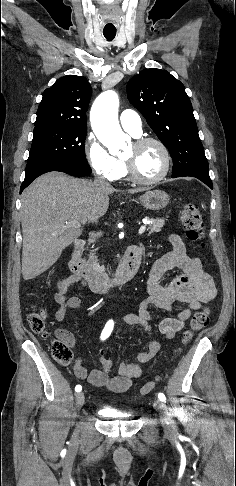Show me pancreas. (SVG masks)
<instances>
[{
  "instance_id": "cf45deb5",
  "label": "pancreas",
  "mask_w": 236,
  "mask_h": 486,
  "mask_svg": "<svg viewBox=\"0 0 236 486\" xmlns=\"http://www.w3.org/2000/svg\"><path fill=\"white\" fill-rule=\"evenodd\" d=\"M147 220L149 221V227H148L149 234H151L153 232H159L165 224L164 219H160V218H147ZM97 261L98 260H97V257L95 256V250H91L90 256H89V262H88L89 269H91L93 271L104 270L103 267L99 266Z\"/></svg>"
}]
</instances>
